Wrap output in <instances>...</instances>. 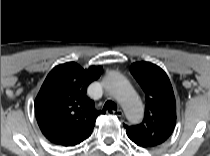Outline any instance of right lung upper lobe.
<instances>
[{"mask_svg": "<svg viewBox=\"0 0 210 156\" xmlns=\"http://www.w3.org/2000/svg\"><path fill=\"white\" fill-rule=\"evenodd\" d=\"M101 71V67L83 70L76 63L68 62L48 74L35 99V115L49 141L74 146L91 135L102 112L95 110L86 89L100 77Z\"/></svg>", "mask_w": 210, "mask_h": 156, "instance_id": "obj_1", "label": "right lung upper lobe"}]
</instances>
